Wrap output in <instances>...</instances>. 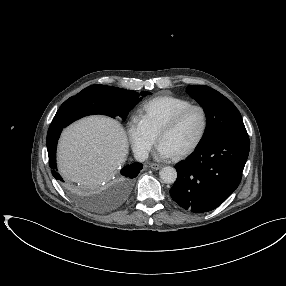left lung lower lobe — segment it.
I'll return each mask as SVG.
<instances>
[{"instance_id": "1", "label": "left lung lower lobe", "mask_w": 286, "mask_h": 286, "mask_svg": "<svg viewBox=\"0 0 286 286\" xmlns=\"http://www.w3.org/2000/svg\"><path fill=\"white\" fill-rule=\"evenodd\" d=\"M249 149L248 136L225 135L201 143L176 165L172 199L194 213L217 208L238 187Z\"/></svg>"}]
</instances>
